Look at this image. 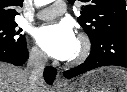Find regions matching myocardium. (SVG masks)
I'll use <instances>...</instances> for the list:
<instances>
[{
	"instance_id": "1",
	"label": "myocardium",
	"mask_w": 127,
	"mask_h": 92,
	"mask_svg": "<svg viewBox=\"0 0 127 92\" xmlns=\"http://www.w3.org/2000/svg\"><path fill=\"white\" fill-rule=\"evenodd\" d=\"M77 43L78 51L73 57L68 60V65L74 66L82 63L88 57L91 51V42L86 35L79 34L77 37Z\"/></svg>"
}]
</instances>
